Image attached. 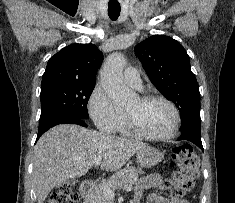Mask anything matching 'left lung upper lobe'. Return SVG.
Wrapping results in <instances>:
<instances>
[{"mask_svg":"<svg viewBox=\"0 0 235 203\" xmlns=\"http://www.w3.org/2000/svg\"><path fill=\"white\" fill-rule=\"evenodd\" d=\"M135 53L153 85L179 109L181 133H201L199 87L181 44L168 36L153 35L137 44Z\"/></svg>","mask_w":235,"mask_h":203,"instance_id":"1","label":"left lung upper lobe"}]
</instances>
